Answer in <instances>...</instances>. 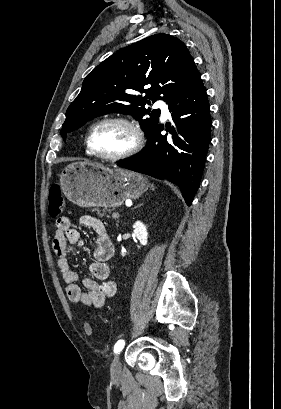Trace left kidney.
<instances>
[{"label": "left kidney", "instance_id": "obj_1", "mask_svg": "<svg viewBox=\"0 0 281 409\" xmlns=\"http://www.w3.org/2000/svg\"><path fill=\"white\" fill-rule=\"evenodd\" d=\"M133 233L135 237H137L138 241H140L141 245H147L148 241V233L146 225H143L141 221H136L133 225Z\"/></svg>", "mask_w": 281, "mask_h": 409}]
</instances>
